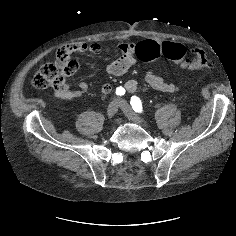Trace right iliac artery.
<instances>
[{"label": "right iliac artery", "mask_w": 236, "mask_h": 236, "mask_svg": "<svg viewBox=\"0 0 236 236\" xmlns=\"http://www.w3.org/2000/svg\"><path fill=\"white\" fill-rule=\"evenodd\" d=\"M125 89L122 87V86H120V87H118L117 89H116V94L118 95V96H123L124 94H125Z\"/></svg>", "instance_id": "obj_1"}]
</instances>
